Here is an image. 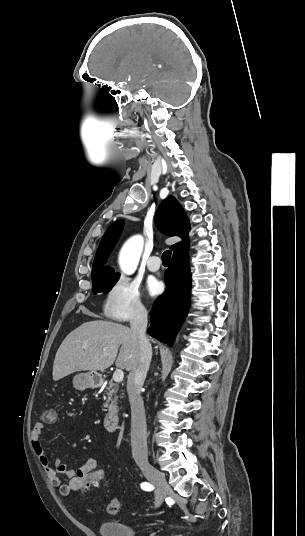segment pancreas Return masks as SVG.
I'll return each mask as SVG.
<instances>
[{"instance_id":"1","label":"pancreas","mask_w":305,"mask_h":536,"mask_svg":"<svg viewBox=\"0 0 305 536\" xmlns=\"http://www.w3.org/2000/svg\"><path fill=\"white\" fill-rule=\"evenodd\" d=\"M109 388H107L109 394L108 396H113V398H109V400H106L105 404H103V408H109V410H118L117 402H118V396H116L119 388L117 384H112V382H109L108 384Z\"/></svg>"}]
</instances>
